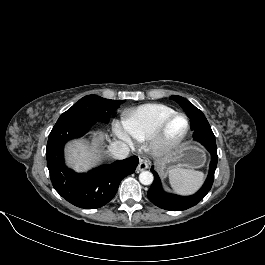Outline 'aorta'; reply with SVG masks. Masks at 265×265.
I'll list each match as a JSON object with an SVG mask.
<instances>
[{
    "instance_id": "1",
    "label": "aorta",
    "mask_w": 265,
    "mask_h": 265,
    "mask_svg": "<svg viewBox=\"0 0 265 265\" xmlns=\"http://www.w3.org/2000/svg\"><path fill=\"white\" fill-rule=\"evenodd\" d=\"M154 180V176L150 171H143L139 174V181L143 185H150Z\"/></svg>"
}]
</instances>
